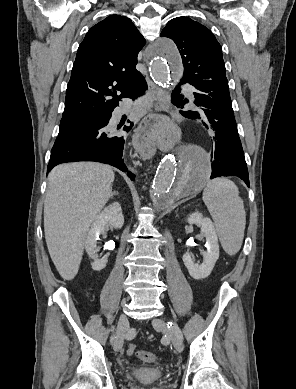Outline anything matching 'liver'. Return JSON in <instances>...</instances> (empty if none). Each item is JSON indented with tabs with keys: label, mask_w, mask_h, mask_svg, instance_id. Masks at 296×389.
<instances>
[{
	"label": "liver",
	"mask_w": 296,
	"mask_h": 389,
	"mask_svg": "<svg viewBox=\"0 0 296 389\" xmlns=\"http://www.w3.org/2000/svg\"><path fill=\"white\" fill-rule=\"evenodd\" d=\"M114 172L96 162L56 166L48 176L44 232L51 259L64 280L78 273L87 232L112 195Z\"/></svg>",
	"instance_id": "1"
}]
</instances>
